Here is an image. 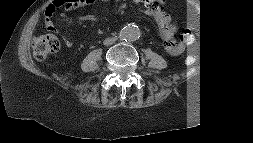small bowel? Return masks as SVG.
I'll return each mask as SVG.
<instances>
[{
	"instance_id": "1",
	"label": "small bowel",
	"mask_w": 253,
	"mask_h": 143,
	"mask_svg": "<svg viewBox=\"0 0 253 143\" xmlns=\"http://www.w3.org/2000/svg\"><path fill=\"white\" fill-rule=\"evenodd\" d=\"M94 1L96 0H92V2L90 3H93ZM103 1H109V0H103ZM133 1L135 3H142V0H133ZM163 3H164V0H160L159 4L156 5L155 7H150L143 3L142 11L146 15L152 17L157 23L160 30V34L164 41L165 51L171 56H178L185 51L186 46L184 42L177 41L175 39L176 26L172 21L171 15L164 9ZM52 16L53 14L45 11L46 26L50 30L57 31L53 22L51 21ZM87 18L88 16H83L81 19L85 20ZM64 42L66 46L68 47H71L73 44L72 41L67 38L64 39Z\"/></svg>"
}]
</instances>
